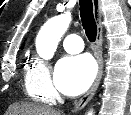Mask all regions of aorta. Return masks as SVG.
Segmentation results:
<instances>
[{
  "mask_svg": "<svg viewBox=\"0 0 131 115\" xmlns=\"http://www.w3.org/2000/svg\"><path fill=\"white\" fill-rule=\"evenodd\" d=\"M71 20V14L64 13L51 18L41 28L36 38V50L42 59L49 60L53 57L58 43L68 29ZM88 115H93V112H88Z\"/></svg>",
  "mask_w": 131,
  "mask_h": 115,
  "instance_id": "aorta-1",
  "label": "aorta"
}]
</instances>
